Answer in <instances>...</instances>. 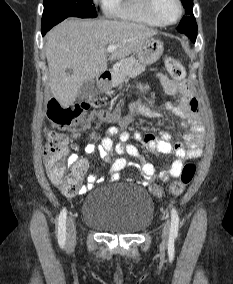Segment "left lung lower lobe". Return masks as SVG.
Wrapping results in <instances>:
<instances>
[{
	"instance_id": "left-lung-lower-lobe-1",
	"label": "left lung lower lobe",
	"mask_w": 233,
	"mask_h": 284,
	"mask_svg": "<svg viewBox=\"0 0 233 284\" xmlns=\"http://www.w3.org/2000/svg\"><path fill=\"white\" fill-rule=\"evenodd\" d=\"M191 40H192V42H195L196 38H192Z\"/></svg>"
}]
</instances>
